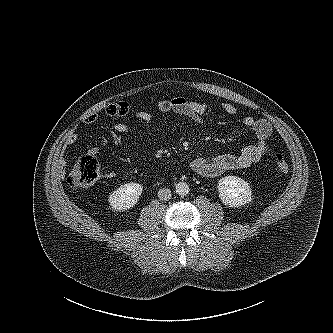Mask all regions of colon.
<instances>
[{
	"mask_svg": "<svg viewBox=\"0 0 333 333\" xmlns=\"http://www.w3.org/2000/svg\"><path fill=\"white\" fill-rule=\"evenodd\" d=\"M274 163L280 173L289 171L288 163L281 153H276ZM100 176V168L97 159L90 154L81 156L71 167L68 175V184L75 189L88 188L95 184Z\"/></svg>",
	"mask_w": 333,
	"mask_h": 333,
	"instance_id": "colon-1",
	"label": "colon"
}]
</instances>
